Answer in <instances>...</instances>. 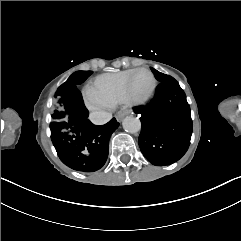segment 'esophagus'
I'll use <instances>...</instances> for the list:
<instances>
[{
    "mask_svg": "<svg viewBox=\"0 0 241 241\" xmlns=\"http://www.w3.org/2000/svg\"><path fill=\"white\" fill-rule=\"evenodd\" d=\"M131 113H132L131 110L123 111V112H121V113H119V114L117 115V119H118L119 121H121V120L123 119V117H125V116H127V115H129V114H131Z\"/></svg>",
    "mask_w": 241,
    "mask_h": 241,
    "instance_id": "obj_1",
    "label": "esophagus"
}]
</instances>
